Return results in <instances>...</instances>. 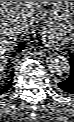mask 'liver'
<instances>
[{"instance_id":"liver-1","label":"liver","mask_w":74,"mask_h":122,"mask_svg":"<svg viewBox=\"0 0 74 122\" xmlns=\"http://www.w3.org/2000/svg\"><path fill=\"white\" fill-rule=\"evenodd\" d=\"M46 5H55V1H0L1 70L8 62L18 37L34 30L43 18V6ZM22 25L26 26L24 31H20Z\"/></svg>"}]
</instances>
